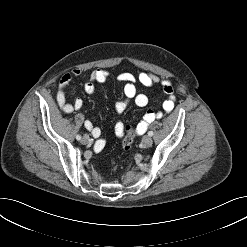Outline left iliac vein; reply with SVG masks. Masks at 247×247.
<instances>
[{
  "label": "left iliac vein",
  "mask_w": 247,
  "mask_h": 247,
  "mask_svg": "<svg viewBox=\"0 0 247 247\" xmlns=\"http://www.w3.org/2000/svg\"><path fill=\"white\" fill-rule=\"evenodd\" d=\"M153 141L150 136H144L142 139V144L145 148H148L152 145Z\"/></svg>",
  "instance_id": "left-iliac-vein-1"
}]
</instances>
